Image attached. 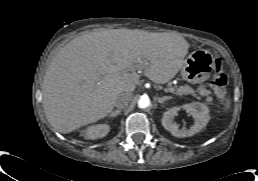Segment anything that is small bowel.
I'll return each mask as SVG.
<instances>
[{
    "label": "small bowel",
    "instance_id": "obj_1",
    "mask_svg": "<svg viewBox=\"0 0 258 181\" xmlns=\"http://www.w3.org/2000/svg\"><path fill=\"white\" fill-rule=\"evenodd\" d=\"M198 91H199V94L201 96L205 97L207 101H211L210 92H209V90L207 88L202 86V87L199 88Z\"/></svg>",
    "mask_w": 258,
    "mask_h": 181
}]
</instances>
